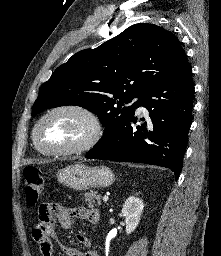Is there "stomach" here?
Returning a JSON list of instances; mask_svg holds the SVG:
<instances>
[{"label":"stomach","instance_id":"0dacf381","mask_svg":"<svg viewBox=\"0 0 221 256\" xmlns=\"http://www.w3.org/2000/svg\"><path fill=\"white\" fill-rule=\"evenodd\" d=\"M58 181L74 190H87L110 186L114 173L105 166L89 167L82 163L66 166L57 172Z\"/></svg>","mask_w":221,"mask_h":256}]
</instances>
